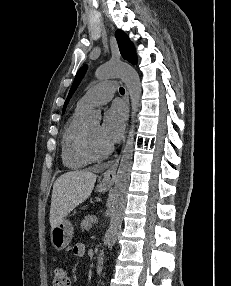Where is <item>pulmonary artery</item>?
<instances>
[{"instance_id":"pulmonary-artery-1","label":"pulmonary artery","mask_w":231,"mask_h":286,"mask_svg":"<svg viewBox=\"0 0 231 286\" xmlns=\"http://www.w3.org/2000/svg\"><path fill=\"white\" fill-rule=\"evenodd\" d=\"M116 90L113 81H103L91 87L78 101L77 107L88 109L99 106L111 100Z\"/></svg>"}]
</instances>
